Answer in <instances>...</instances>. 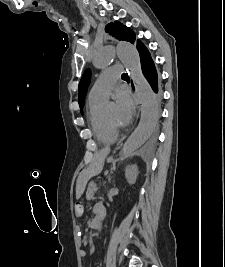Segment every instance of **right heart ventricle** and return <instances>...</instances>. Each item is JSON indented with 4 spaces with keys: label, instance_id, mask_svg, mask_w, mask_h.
I'll list each match as a JSON object with an SVG mask.
<instances>
[{
    "label": "right heart ventricle",
    "instance_id": "right-heart-ventricle-1",
    "mask_svg": "<svg viewBox=\"0 0 225 267\" xmlns=\"http://www.w3.org/2000/svg\"><path fill=\"white\" fill-rule=\"evenodd\" d=\"M102 101H88V120L92 133L102 144H111L116 140L117 132L110 129L104 117L100 113Z\"/></svg>",
    "mask_w": 225,
    "mask_h": 267
}]
</instances>
